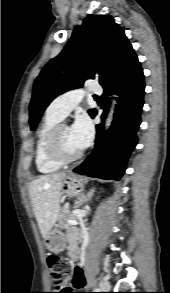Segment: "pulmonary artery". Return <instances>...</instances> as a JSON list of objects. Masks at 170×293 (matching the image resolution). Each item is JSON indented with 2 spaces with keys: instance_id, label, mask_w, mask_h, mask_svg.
<instances>
[{
  "instance_id": "obj_1",
  "label": "pulmonary artery",
  "mask_w": 170,
  "mask_h": 293,
  "mask_svg": "<svg viewBox=\"0 0 170 293\" xmlns=\"http://www.w3.org/2000/svg\"><path fill=\"white\" fill-rule=\"evenodd\" d=\"M87 94L97 95L101 93L99 87H90L87 91ZM84 91L81 89H72L59 96H57L47 107L46 113L54 115L59 119H64L70 111L79 104Z\"/></svg>"
}]
</instances>
